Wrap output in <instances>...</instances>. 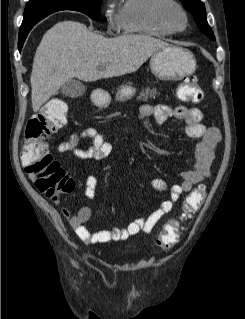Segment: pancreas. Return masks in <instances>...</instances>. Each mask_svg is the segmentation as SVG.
Here are the masks:
<instances>
[{"instance_id":"cf45deb5","label":"pancreas","mask_w":245,"mask_h":319,"mask_svg":"<svg viewBox=\"0 0 245 319\" xmlns=\"http://www.w3.org/2000/svg\"><path fill=\"white\" fill-rule=\"evenodd\" d=\"M157 94L158 93L156 88L151 89L150 87H147L145 89H142L137 98L142 100L155 99Z\"/></svg>"}]
</instances>
